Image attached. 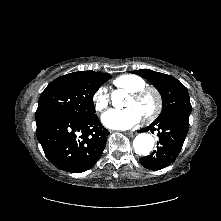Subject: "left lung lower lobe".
Returning a JSON list of instances; mask_svg holds the SVG:
<instances>
[{"mask_svg":"<svg viewBox=\"0 0 221 221\" xmlns=\"http://www.w3.org/2000/svg\"><path fill=\"white\" fill-rule=\"evenodd\" d=\"M189 128V114H174L138 132L158 131L157 150L140 158L142 166L149 170H160L170 165L179 155Z\"/></svg>","mask_w":221,"mask_h":221,"instance_id":"left-lung-lower-lobe-1","label":"left lung lower lobe"}]
</instances>
